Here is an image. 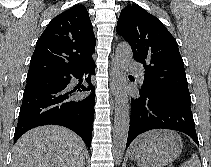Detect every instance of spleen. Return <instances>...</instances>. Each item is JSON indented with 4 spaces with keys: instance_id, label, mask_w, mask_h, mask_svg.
Returning a JSON list of instances; mask_svg holds the SVG:
<instances>
[{
    "instance_id": "spleen-1",
    "label": "spleen",
    "mask_w": 211,
    "mask_h": 167,
    "mask_svg": "<svg viewBox=\"0 0 211 167\" xmlns=\"http://www.w3.org/2000/svg\"><path fill=\"white\" fill-rule=\"evenodd\" d=\"M181 167H201L197 154H192L191 158L188 161H185Z\"/></svg>"
}]
</instances>
